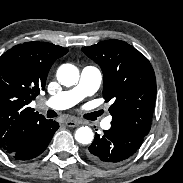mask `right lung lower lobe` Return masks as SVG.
Wrapping results in <instances>:
<instances>
[{"instance_id":"obj_1","label":"right lung lower lobe","mask_w":183,"mask_h":183,"mask_svg":"<svg viewBox=\"0 0 183 183\" xmlns=\"http://www.w3.org/2000/svg\"><path fill=\"white\" fill-rule=\"evenodd\" d=\"M59 128L56 121L43 119L25 130L20 147L8 153L17 160H28L40 155L50 143L54 133Z\"/></svg>"}]
</instances>
